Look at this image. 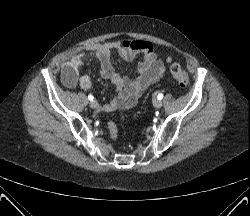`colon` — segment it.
I'll use <instances>...</instances> for the list:
<instances>
[{"instance_id":"obj_1","label":"colon","mask_w":250,"mask_h":216,"mask_svg":"<svg viewBox=\"0 0 250 216\" xmlns=\"http://www.w3.org/2000/svg\"><path fill=\"white\" fill-rule=\"evenodd\" d=\"M169 64L170 72L175 80L180 86L184 87L189 83V76L185 70L176 62H174L170 57L166 59ZM108 130L112 139H117L118 128L114 122H108Z\"/></svg>"}]
</instances>
